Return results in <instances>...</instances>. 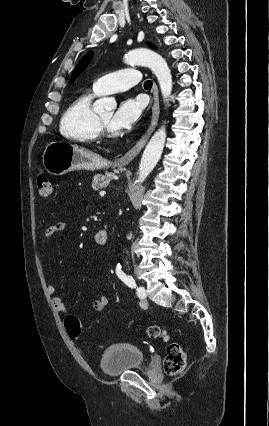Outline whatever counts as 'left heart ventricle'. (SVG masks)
I'll use <instances>...</instances> for the list:
<instances>
[{
  "mask_svg": "<svg viewBox=\"0 0 269 426\" xmlns=\"http://www.w3.org/2000/svg\"><path fill=\"white\" fill-rule=\"evenodd\" d=\"M112 112H107V113H103L101 115H99V117L101 118V120L109 127L111 118H112Z\"/></svg>",
  "mask_w": 269,
  "mask_h": 426,
  "instance_id": "left-heart-ventricle-1",
  "label": "left heart ventricle"
}]
</instances>
